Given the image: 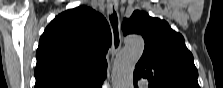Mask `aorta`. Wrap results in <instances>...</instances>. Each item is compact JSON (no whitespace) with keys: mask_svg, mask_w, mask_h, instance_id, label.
Here are the masks:
<instances>
[{"mask_svg":"<svg viewBox=\"0 0 223 88\" xmlns=\"http://www.w3.org/2000/svg\"><path fill=\"white\" fill-rule=\"evenodd\" d=\"M144 50V40L140 36H129L125 45L116 57L112 74L113 88H133V72L135 65Z\"/></svg>","mask_w":223,"mask_h":88,"instance_id":"762f6f07","label":"aorta"}]
</instances>
